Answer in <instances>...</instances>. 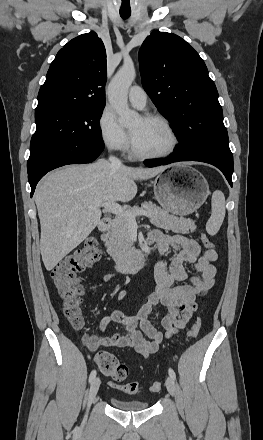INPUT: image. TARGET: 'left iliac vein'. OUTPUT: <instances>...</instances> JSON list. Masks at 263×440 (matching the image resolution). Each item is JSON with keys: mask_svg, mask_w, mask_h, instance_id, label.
Listing matches in <instances>:
<instances>
[{"mask_svg": "<svg viewBox=\"0 0 263 440\" xmlns=\"http://www.w3.org/2000/svg\"><path fill=\"white\" fill-rule=\"evenodd\" d=\"M166 388L171 395H175L176 385L174 380L169 376L165 381Z\"/></svg>", "mask_w": 263, "mask_h": 440, "instance_id": "obj_1", "label": "left iliac vein"}]
</instances>
